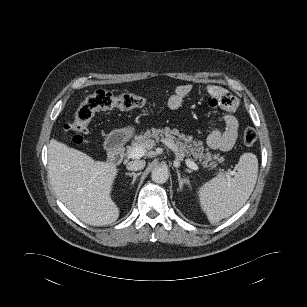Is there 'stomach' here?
Segmentation results:
<instances>
[{"instance_id":"0dacf381","label":"stomach","mask_w":307,"mask_h":307,"mask_svg":"<svg viewBox=\"0 0 307 307\" xmlns=\"http://www.w3.org/2000/svg\"><path fill=\"white\" fill-rule=\"evenodd\" d=\"M134 128L132 126H127L125 128L119 129L115 131L114 135H116L121 140H127L134 134Z\"/></svg>"}]
</instances>
